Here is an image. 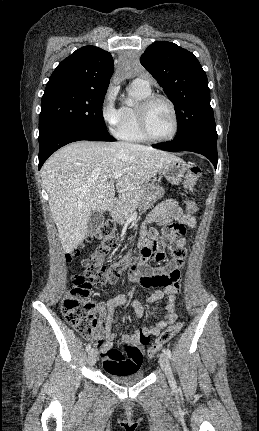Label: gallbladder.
I'll use <instances>...</instances> for the list:
<instances>
[{
  "instance_id": "bac80fb5",
  "label": "gallbladder",
  "mask_w": 259,
  "mask_h": 431,
  "mask_svg": "<svg viewBox=\"0 0 259 431\" xmlns=\"http://www.w3.org/2000/svg\"><path fill=\"white\" fill-rule=\"evenodd\" d=\"M104 223V216L102 212L92 211L90 218L88 220V233L90 235H95L100 227Z\"/></svg>"
}]
</instances>
